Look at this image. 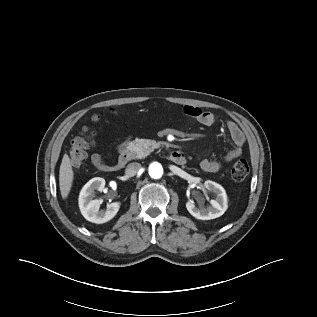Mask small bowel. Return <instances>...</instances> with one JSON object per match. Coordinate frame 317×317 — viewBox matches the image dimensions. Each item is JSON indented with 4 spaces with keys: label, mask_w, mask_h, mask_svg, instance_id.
Listing matches in <instances>:
<instances>
[{
    "label": "small bowel",
    "mask_w": 317,
    "mask_h": 317,
    "mask_svg": "<svg viewBox=\"0 0 317 317\" xmlns=\"http://www.w3.org/2000/svg\"><path fill=\"white\" fill-rule=\"evenodd\" d=\"M183 112L187 116H190L196 119V121H198L200 124L204 126H211L216 121V117L212 112L202 110L198 107L186 105L183 107ZM225 125L234 145L233 148L229 150L223 158V161L225 163H229L232 160L242 155L243 147L245 144V136L243 131L235 122L226 121ZM124 145L125 143L121 144L119 147L120 148L124 147ZM95 146H96L95 142L91 141L90 147L94 148ZM91 162L93 166L100 171H106L109 166V164L106 163L104 158L98 153H95L92 155ZM221 166H222V163L214 159H203L200 162L201 169L208 173L218 172L221 169Z\"/></svg>",
    "instance_id": "small-bowel-1"
}]
</instances>
